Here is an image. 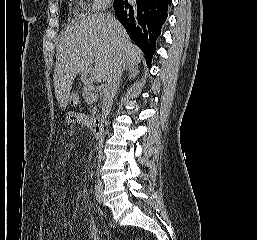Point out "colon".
<instances>
[{
	"instance_id": "colon-1",
	"label": "colon",
	"mask_w": 257,
	"mask_h": 240,
	"mask_svg": "<svg viewBox=\"0 0 257 240\" xmlns=\"http://www.w3.org/2000/svg\"><path fill=\"white\" fill-rule=\"evenodd\" d=\"M70 101L72 104H77L79 102V94L77 92H72L70 95Z\"/></svg>"
}]
</instances>
